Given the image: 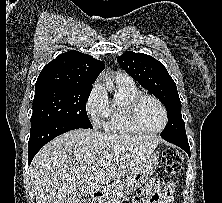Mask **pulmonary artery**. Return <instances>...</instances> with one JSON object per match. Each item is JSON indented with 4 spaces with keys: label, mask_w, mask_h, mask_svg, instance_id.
<instances>
[{
    "label": "pulmonary artery",
    "mask_w": 222,
    "mask_h": 203,
    "mask_svg": "<svg viewBox=\"0 0 222 203\" xmlns=\"http://www.w3.org/2000/svg\"><path fill=\"white\" fill-rule=\"evenodd\" d=\"M116 79L121 80V81H126V82L132 81L131 78L124 73H118L116 76Z\"/></svg>",
    "instance_id": "obj_1"
}]
</instances>
